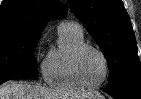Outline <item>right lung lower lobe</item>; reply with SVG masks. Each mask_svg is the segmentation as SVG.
<instances>
[{
	"instance_id": "98d812e1",
	"label": "right lung lower lobe",
	"mask_w": 141,
	"mask_h": 99,
	"mask_svg": "<svg viewBox=\"0 0 141 99\" xmlns=\"http://www.w3.org/2000/svg\"><path fill=\"white\" fill-rule=\"evenodd\" d=\"M12 79V78H11ZM7 80H10V79H7ZM7 80H3V81H0V85L4 82H6Z\"/></svg>"
}]
</instances>
